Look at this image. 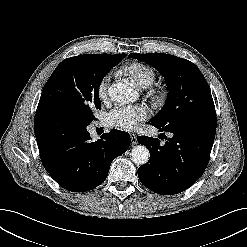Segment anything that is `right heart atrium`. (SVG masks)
<instances>
[{
  "label": "right heart atrium",
  "mask_w": 247,
  "mask_h": 247,
  "mask_svg": "<svg viewBox=\"0 0 247 247\" xmlns=\"http://www.w3.org/2000/svg\"><path fill=\"white\" fill-rule=\"evenodd\" d=\"M108 86H109V77H103L98 84V94L102 101H105L108 96Z\"/></svg>",
  "instance_id": "obj_1"
}]
</instances>
